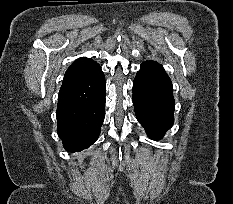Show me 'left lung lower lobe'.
Wrapping results in <instances>:
<instances>
[{
  "mask_svg": "<svg viewBox=\"0 0 233 204\" xmlns=\"http://www.w3.org/2000/svg\"><path fill=\"white\" fill-rule=\"evenodd\" d=\"M171 80L155 61L142 63L133 82V104L138 121L152 139H161L174 122Z\"/></svg>",
  "mask_w": 233,
  "mask_h": 204,
  "instance_id": "left-lung-lower-lobe-1",
  "label": "left lung lower lobe"
}]
</instances>
